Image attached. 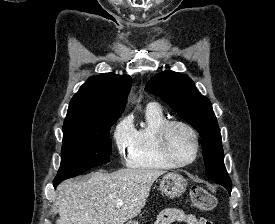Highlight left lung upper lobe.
<instances>
[{
	"mask_svg": "<svg viewBox=\"0 0 275 224\" xmlns=\"http://www.w3.org/2000/svg\"><path fill=\"white\" fill-rule=\"evenodd\" d=\"M145 90L159 96L199 132L208 177L221 185L231 183L223 162L221 134L211 102L201 95L193 81L169 70L151 78Z\"/></svg>",
	"mask_w": 275,
	"mask_h": 224,
	"instance_id": "5c2ea615",
	"label": "left lung upper lobe"
}]
</instances>
